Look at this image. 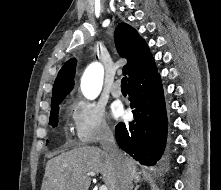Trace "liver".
<instances>
[{
    "mask_svg": "<svg viewBox=\"0 0 221 190\" xmlns=\"http://www.w3.org/2000/svg\"><path fill=\"white\" fill-rule=\"evenodd\" d=\"M131 180L141 181L136 162L123 153ZM89 172L102 174L108 190H116L120 170L109 155L98 147L85 146L62 153L46 163L41 190H88Z\"/></svg>",
    "mask_w": 221,
    "mask_h": 190,
    "instance_id": "liver-1",
    "label": "liver"
}]
</instances>
